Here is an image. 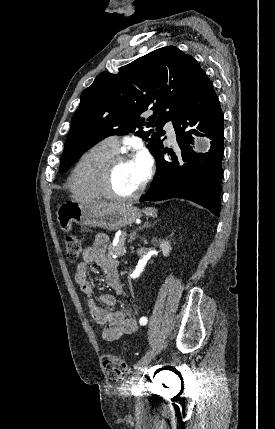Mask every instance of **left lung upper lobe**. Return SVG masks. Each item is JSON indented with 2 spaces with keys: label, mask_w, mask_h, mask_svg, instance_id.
I'll return each mask as SVG.
<instances>
[{
  "label": "left lung upper lobe",
  "mask_w": 275,
  "mask_h": 429,
  "mask_svg": "<svg viewBox=\"0 0 275 429\" xmlns=\"http://www.w3.org/2000/svg\"><path fill=\"white\" fill-rule=\"evenodd\" d=\"M118 74L102 72L81 94L67 135L59 172L111 135L135 132L148 142L155 157L163 148L165 123L177 116L192 98L202 69L198 62L174 46H167L121 67ZM154 114L148 121L142 114ZM153 129L144 131L142 126Z\"/></svg>",
  "instance_id": "obj_1"
}]
</instances>
